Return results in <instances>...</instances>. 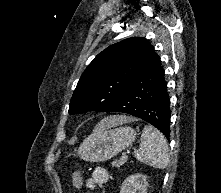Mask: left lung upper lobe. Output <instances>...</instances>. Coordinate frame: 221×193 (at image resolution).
<instances>
[{"label": "left lung upper lobe", "mask_w": 221, "mask_h": 193, "mask_svg": "<svg viewBox=\"0 0 221 193\" xmlns=\"http://www.w3.org/2000/svg\"><path fill=\"white\" fill-rule=\"evenodd\" d=\"M159 60L145 38L132 37L109 46L95 57L79 79L69 113L106 112L137 77Z\"/></svg>", "instance_id": "left-lung-upper-lobe-1"}]
</instances>
